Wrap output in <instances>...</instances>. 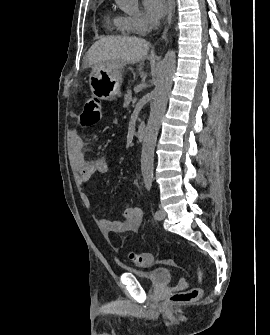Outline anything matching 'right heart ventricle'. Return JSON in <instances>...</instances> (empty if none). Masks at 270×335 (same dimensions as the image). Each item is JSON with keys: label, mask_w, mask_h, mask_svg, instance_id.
<instances>
[{"label": "right heart ventricle", "mask_w": 270, "mask_h": 335, "mask_svg": "<svg viewBox=\"0 0 270 335\" xmlns=\"http://www.w3.org/2000/svg\"><path fill=\"white\" fill-rule=\"evenodd\" d=\"M105 26L110 31H117L121 33L130 32V24L128 18L120 13H115L114 15H106L104 18ZM157 78H167V77H157Z\"/></svg>", "instance_id": "1"}]
</instances>
